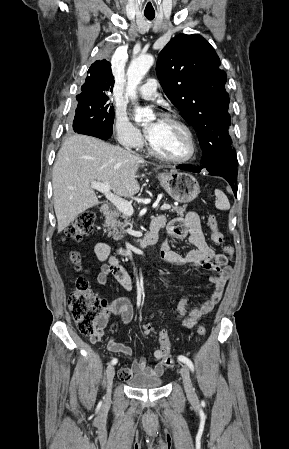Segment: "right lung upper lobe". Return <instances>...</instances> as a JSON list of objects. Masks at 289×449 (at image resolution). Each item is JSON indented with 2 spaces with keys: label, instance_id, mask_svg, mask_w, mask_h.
<instances>
[{
  "label": "right lung upper lobe",
  "instance_id": "1",
  "mask_svg": "<svg viewBox=\"0 0 289 449\" xmlns=\"http://www.w3.org/2000/svg\"><path fill=\"white\" fill-rule=\"evenodd\" d=\"M89 76L82 85V94H95L97 92H112L114 79L111 63L102 60L94 62L88 70Z\"/></svg>",
  "mask_w": 289,
  "mask_h": 449
}]
</instances>
